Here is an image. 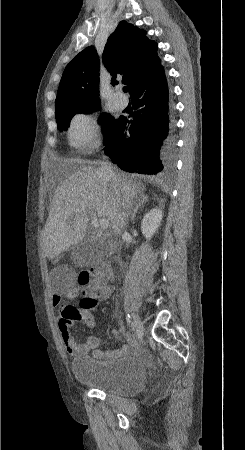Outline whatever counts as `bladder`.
<instances>
[{"label": "bladder", "mask_w": 245, "mask_h": 450, "mask_svg": "<svg viewBox=\"0 0 245 450\" xmlns=\"http://www.w3.org/2000/svg\"><path fill=\"white\" fill-rule=\"evenodd\" d=\"M76 380L85 386L122 397L140 393L146 380V368L135 356L110 359L84 357L72 361Z\"/></svg>", "instance_id": "obj_1"}]
</instances>
